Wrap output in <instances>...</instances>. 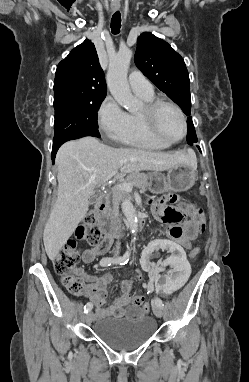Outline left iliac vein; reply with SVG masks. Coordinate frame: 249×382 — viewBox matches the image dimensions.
Returning <instances> with one entry per match:
<instances>
[{"mask_svg": "<svg viewBox=\"0 0 249 382\" xmlns=\"http://www.w3.org/2000/svg\"><path fill=\"white\" fill-rule=\"evenodd\" d=\"M152 308H153V312H154L155 316H157V317L163 316V311L158 305L154 304Z\"/></svg>", "mask_w": 249, "mask_h": 382, "instance_id": "left-iliac-vein-1", "label": "left iliac vein"}]
</instances>
